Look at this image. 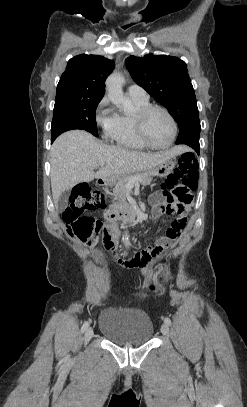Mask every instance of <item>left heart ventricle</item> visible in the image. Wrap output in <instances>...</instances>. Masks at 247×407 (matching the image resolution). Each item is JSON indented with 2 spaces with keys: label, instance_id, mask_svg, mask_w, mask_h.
Here are the masks:
<instances>
[{
  "label": "left heart ventricle",
  "instance_id": "b2bd125f",
  "mask_svg": "<svg viewBox=\"0 0 247 407\" xmlns=\"http://www.w3.org/2000/svg\"><path fill=\"white\" fill-rule=\"evenodd\" d=\"M145 133L152 144L163 146L170 141L173 133V126L166 114L159 110H155L146 118Z\"/></svg>",
  "mask_w": 247,
  "mask_h": 407
}]
</instances>
